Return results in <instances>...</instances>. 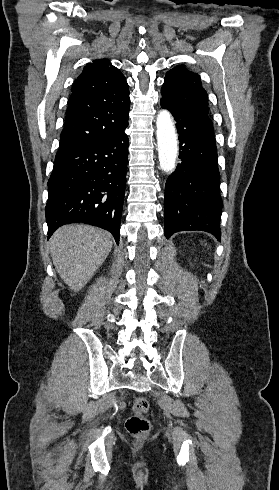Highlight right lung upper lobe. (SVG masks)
<instances>
[{
	"label": "right lung upper lobe",
	"mask_w": 279,
	"mask_h": 490,
	"mask_svg": "<svg viewBox=\"0 0 279 490\" xmlns=\"http://www.w3.org/2000/svg\"><path fill=\"white\" fill-rule=\"evenodd\" d=\"M71 91L56 155L94 143L128 125V84L109 60L87 64Z\"/></svg>",
	"instance_id": "right-lung-upper-lobe-1"
}]
</instances>
